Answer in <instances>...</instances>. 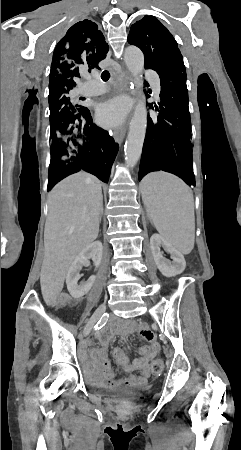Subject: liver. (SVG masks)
Instances as JSON below:
<instances>
[{
	"label": "liver",
	"mask_w": 241,
	"mask_h": 450,
	"mask_svg": "<svg viewBox=\"0 0 241 450\" xmlns=\"http://www.w3.org/2000/svg\"><path fill=\"white\" fill-rule=\"evenodd\" d=\"M102 200L101 182L86 172L68 176L51 190L40 272L42 296L49 306L62 292L74 258L96 240Z\"/></svg>",
	"instance_id": "liver-1"
}]
</instances>
